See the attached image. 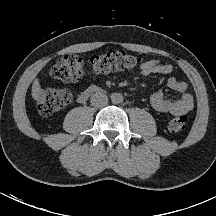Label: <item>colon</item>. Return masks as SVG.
Segmentation results:
<instances>
[{"label":"colon","instance_id":"5ec220e1","mask_svg":"<svg viewBox=\"0 0 216 216\" xmlns=\"http://www.w3.org/2000/svg\"><path fill=\"white\" fill-rule=\"evenodd\" d=\"M141 64V58L124 51H112L102 55L82 57L66 54L59 58L50 70V76L56 80L73 82L86 75L107 73L115 70L133 69ZM73 94L65 89L43 88L38 94V109L41 115L49 116L71 104ZM188 118L179 115L169 122L172 132L185 129Z\"/></svg>","mask_w":216,"mask_h":216}]
</instances>
